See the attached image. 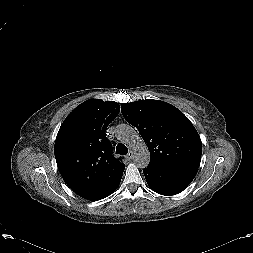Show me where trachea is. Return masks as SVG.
<instances>
[{
  "label": "trachea",
  "instance_id": "obj_1",
  "mask_svg": "<svg viewBox=\"0 0 253 253\" xmlns=\"http://www.w3.org/2000/svg\"><path fill=\"white\" fill-rule=\"evenodd\" d=\"M116 153L119 154V155H126L128 153V149L124 144L119 143L116 146Z\"/></svg>",
  "mask_w": 253,
  "mask_h": 253
}]
</instances>
